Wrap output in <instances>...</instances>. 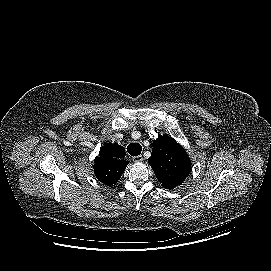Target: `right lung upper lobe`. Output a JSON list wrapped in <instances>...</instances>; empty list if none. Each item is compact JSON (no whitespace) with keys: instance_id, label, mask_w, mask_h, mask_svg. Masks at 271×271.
Instances as JSON below:
<instances>
[{"instance_id":"1","label":"right lung upper lobe","mask_w":271,"mask_h":271,"mask_svg":"<svg viewBox=\"0 0 271 271\" xmlns=\"http://www.w3.org/2000/svg\"><path fill=\"white\" fill-rule=\"evenodd\" d=\"M124 157L125 150L122 146L115 143L105 144L94 161V173L97 179L108 186L115 184L128 164L127 161L122 160Z\"/></svg>"}]
</instances>
